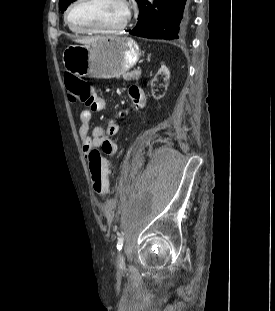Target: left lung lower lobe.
Segmentation results:
<instances>
[{
  "label": "left lung lower lobe",
  "mask_w": 275,
  "mask_h": 311,
  "mask_svg": "<svg viewBox=\"0 0 275 311\" xmlns=\"http://www.w3.org/2000/svg\"><path fill=\"white\" fill-rule=\"evenodd\" d=\"M190 0H144L130 34L150 39L182 38L189 24Z\"/></svg>",
  "instance_id": "0a47b994"
}]
</instances>
